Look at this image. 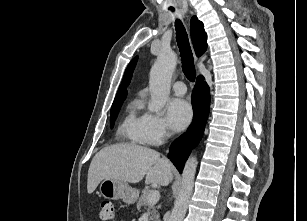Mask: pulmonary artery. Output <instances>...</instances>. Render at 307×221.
I'll use <instances>...</instances> for the list:
<instances>
[{
    "instance_id": "obj_1",
    "label": "pulmonary artery",
    "mask_w": 307,
    "mask_h": 221,
    "mask_svg": "<svg viewBox=\"0 0 307 221\" xmlns=\"http://www.w3.org/2000/svg\"><path fill=\"white\" fill-rule=\"evenodd\" d=\"M173 91L177 95H184L186 93V86L183 82L177 81L172 85Z\"/></svg>"
}]
</instances>
